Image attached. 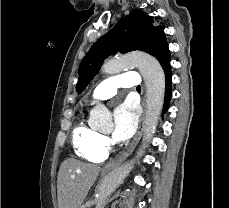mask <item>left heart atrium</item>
Returning <instances> with one entry per match:
<instances>
[{
	"instance_id": "obj_1",
	"label": "left heart atrium",
	"mask_w": 229,
	"mask_h": 208,
	"mask_svg": "<svg viewBox=\"0 0 229 208\" xmlns=\"http://www.w3.org/2000/svg\"><path fill=\"white\" fill-rule=\"evenodd\" d=\"M138 122V112L134 104L125 101L114 111L113 137L117 141L129 139L135 132Z\"/></svg>"
}]
</instances>
